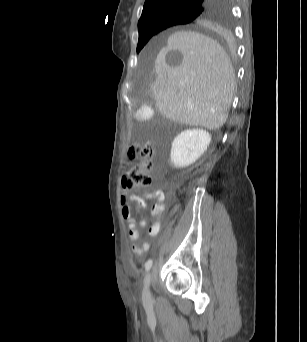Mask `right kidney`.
I'll use <instances>...</instances> for the list:
<instances>
[{"mask_svg": "<svg viewBox=\"0 0 307 342\" xmlns=\"http://www.w3.org/2000/svg\"><path fill=\"white\" fill-rule=\"evenodd\" d=\"M211 142V134L206 130H184L172 142L171 162L173 168H188L194 164Z\"/></svg>", "mask_w": 307, "mask_h": 342, "instance_id": "obj_1", "label": "right kidney"}]
</instances>
